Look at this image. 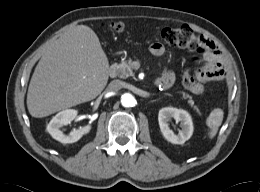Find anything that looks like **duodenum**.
<instances>
[{
	"label": "duodenum",
	"instance_id": "duodenum-1",
	"mask_svg": "<svg viewBox=\"0 0 260 192\" xmlns=\"http://www.w3.org/2000/svg\"><path fill=\"white\" fill-rule=\"evenodd\" d=\"M115 72H116V70H115L114 67H111V68L109 69V75H110L111 77H113V76L115 75ZM155 85H156L157 87H161V86H162V83H161V81L158 79V80L155 81Z\"/></svg>",
	"mask_w": 260,
	"mask_h": 192
}]
</instances>
